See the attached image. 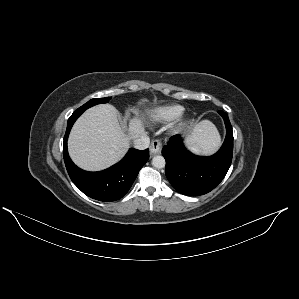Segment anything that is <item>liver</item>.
I'll return each instance as SVG.
<instances>
[{
	"label": "liver",
	"instance_id": "1",
	"mask_svg": "<svg viewBox=\"0 0 299 299\" xmlns=\"http://www.w3.org/2000/svg\"><path fill=\"white\" fill-rule=\"evenodd\" d=\"M117 116L112 105L101 104L78 118L68 140L69 155L76 165L88 171L106 169L124 157L131 139L145 134L144 116L130 119L128 129L120 126ZM193 140L211 150L220 143L217 130L206 122L195 126Z\"/></svg>",
	"mask_w": 299,
	"mask_h": 299
}]
</instances>
